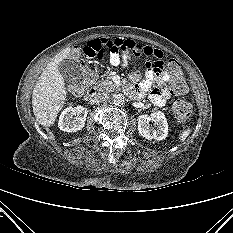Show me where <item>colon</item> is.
<instances>
[{"label": "colon", "instance_id": "obj_1", "mask_svg": "<svg viewBox=\"0 0 233 233\" xmlns=\"http://www.w3.org/2000/svg\"><path fill=\"white\" fill-rule=\"evenodd\" d=\"M168 69L171 72V79L167 84L168 88L177 95H183L187 91L186 81L181 73L180 65L171 60L168 63ZM92 80V76L89 72L84 71L83 81L73 86V89L77 93H82L86 85ZM192 113V106L185 100H177L173 105V114L179 121L187 120Z\"/></svg>", "mask_w": 233, "mask_h": 233}]
</instances>
